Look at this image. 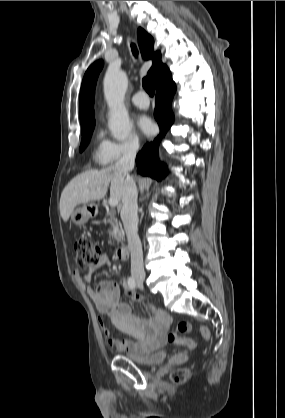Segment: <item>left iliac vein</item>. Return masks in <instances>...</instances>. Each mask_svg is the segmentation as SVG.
Instances as JSON below:
<instances>
[{
    "mask_svg": "<svg viewBox=\"0 0 285 418\" xmlns=\"http://www.w3.org/2000/svg\"><path fill=\"white\" fill-rule=\"evenodd\" d=\"M137 286H138V288H139V289H141V290H143V289H144V286H143V284H142V283H137Z\"/></svg>",
    "mask_w": 285,
    "mask_h": 418,
    "instance_id": "obj_1",
    "label": "left iliac vein"
}]
</instances>
